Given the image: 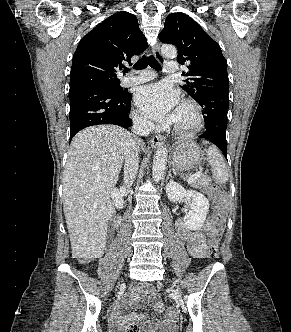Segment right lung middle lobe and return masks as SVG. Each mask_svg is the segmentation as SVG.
<instances>
[{
    "label": "right lung middle lobe",
    "mask_w": 291,
    "mask_h": 332,
    "mask_svg": "<svg viewBox=\"0 0 291 332\" xmlns=\"http://www.w3.org/2000/svg\"><path fill=\"white\" fill-rule=\"evenodd\" d=\"M93 84H102V85H106L108 86L113 93H115L117 96H123L126 91H124L121 87H120V81L119 82H107V81H97ZM92 84V85H93Z\"/></svg>",
    "instance_id": "obj_1"
}]
</instances>
